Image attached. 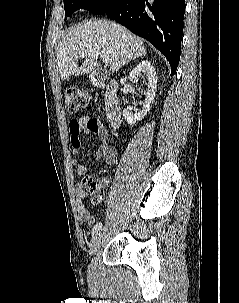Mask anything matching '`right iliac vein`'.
<instances>
[{
  "mask_svg": "<svg viewBox=\"0 0 239 303\" xmlns=\"http://www.w3.org/2000/svg\"><path fill=\"white\" fill-rule=\"evenodd\" d=\"M102 242H103L102 233L101 231H98L92 237L89 254L93 255L100 248Z\"/></svg>",
  "mask_w": 239,
  "mask_h": 303,
  "instance_id": "63e3f726",
  "label": "right iliac vein"
}]
</instances>
